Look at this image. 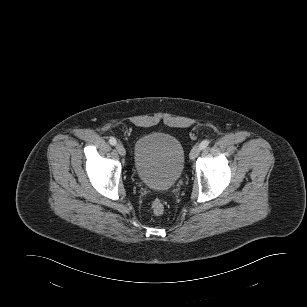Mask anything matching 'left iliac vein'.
I'll return each mask as SVG.
<instances>
[{"mask_svg": "<svg viewBox=\"0 0 307 307\" xmlns=\"http://www.w3.org/2000/svg\"><path fill=\"white\" fill-rule=\"evenodd\" d=\"M201 152L200 146H194L189 154L191 160L195 159Z\"/></svg>", "mask_w": 307, "mask_h": 307, "instance_id": "1", "label": "left iliac vein"}]
</instances>
